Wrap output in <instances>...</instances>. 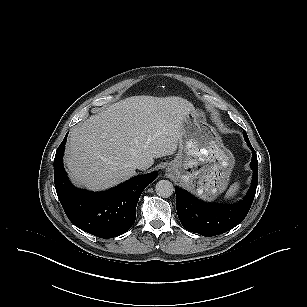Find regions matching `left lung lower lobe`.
I'll list each match as a JSON object with an SVG mask.
<instances>
[{
    "instance_id": "left-lung-lower-lobe-1",
    "label": "left lung lower lobe",
    "mask_w": 307,
    "mask_h": 307,
    "mask_svg": "<svg viewBox=\"0 0 307 307\" xmlns=\"http://www.w3.org/2000/svg\"><path fill=\"white\" fill-rule=\"evenodd\" d=\"M247 144L253 155L250 164L253 176L251 187L240 202L231 205L205 203L187 191L175 187L177 213L185 229L202 236H215L231 230L244 220L252 205L258 183L257 155L252 145L248 142Z\"/></svg>"
}]
</instances>
